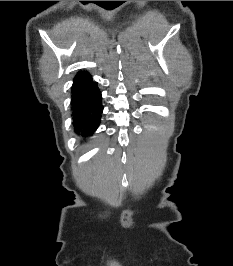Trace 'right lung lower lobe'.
Masks as SVG:
<instances>
[{
    "instance_id": "98d812e1",
    "label": "right lung lower lobe",
    "mask_w": 233,
    "mask_h": 266,
    "mask_svg": "<svg viewBox=\"0 0 233 266\" xmlns=\"http://www.w3.org/2000/svg\"><path fill=\"white\" fill-rule=\"evenodd\" d=\"M72 106L75 131L84 138L91 136L100 123L103 106L101 93L92 76L78 72L72 87Z\"/></svg>"
}]
</instances>
